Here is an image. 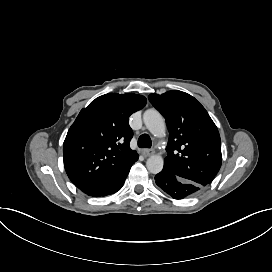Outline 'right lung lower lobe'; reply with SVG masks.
<instances>
[{
  "mask_svg": "<svg viewBox=\"0 0 272 272\" xmlns=\"http://www.w3.org/2000/svg\"><path fill=\"white\" fill-rule=\"evenodd\" d=\"M137 159L128 165L125 169L121 170L110 178L98 183L84 186L79 189L92 197H103L117 192L123 186L131 166L137 161Z\"/></svg>",
  "mask_w": 272,
  "mask_h": 272,
  "instance_id": "1",
  "label": "right lung lower lobe"
}]
</instances>
